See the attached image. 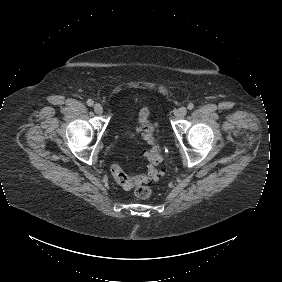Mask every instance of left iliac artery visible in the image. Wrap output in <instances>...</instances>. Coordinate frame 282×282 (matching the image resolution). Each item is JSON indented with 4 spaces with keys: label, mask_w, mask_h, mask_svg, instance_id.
Listing matches in <instances>:
<instances>
[{
    "label": "left iliac artery",
    "mask_w": 282,
    "mask_h": 282,
    "mask_svg": "<svg viewBox=\"0 0 282 282\" xmlns=\"http://www.w3.org/2000/svg\"><path fill=\"white\" fill-rule=\"evenodd\" d=\"M193 108H194V104H193V103H189V104H188V109H189V110H192Z\"/></svg>",
    "instance_id": "44dca946"
}]
</instances>
